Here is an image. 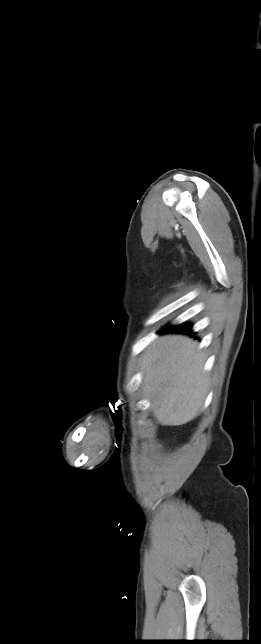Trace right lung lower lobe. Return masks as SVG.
<instances>
[{"mask_svg": "<svg viewBox=\"0 0 261 644\" xmlns=\"http://www.w3.org/2000/svg\"><path fill=\"white\" fill-rule=\"evenodd\" d=\"M162 332H177V333H183V334H188L190 336H194L193 331L191 330V327L189 325H186L185 323L171 327V328H165L162 330Z\"/></svg>", "mask_w": 261, "mask_h": 644, "instance_id": "obj_1", "label": "right lung lower lobe"}]
</instances>
